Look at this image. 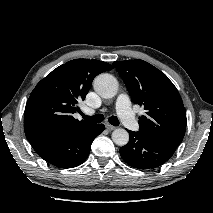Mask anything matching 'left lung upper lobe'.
Segmentation results:
<instances>
[{"mask_svg":"<svg viewBox=\"0 0 213 213\" xmlns=\"http://www.w3.org/2000/svg\"><path fill=\"white\" fill-rule=\"evenodd\" d=\"M135 104L146 114L139 118V132L150 140L177 148L186 130V110L168 77L146 61L113 63Z\"/></svg>","mask_w":213,"mask_h":213,"instance_id":"5c2ea615","label":"left lung upper lobe"}]
</instances>
